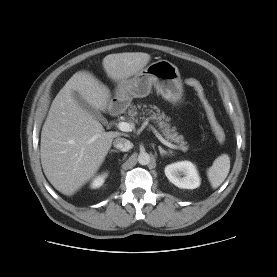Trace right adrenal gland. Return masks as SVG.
<instances>
[{"label": "right adrenal gland", "mask_w": 277, "mask_h": 277, "mask_svg": "<svg viewBox=\"0 0 277 277\" xmlns=\"http://www.w3.org/2000/svg\"><path fill=\"white\" fill-rule=\"evenodd\" d=\"M112 152H114V153H119V151H118V150H115V149H111V150H110V153H112Z\"/></svg>", "instance_id": "1"}]
</instances>
